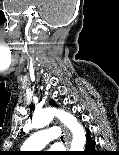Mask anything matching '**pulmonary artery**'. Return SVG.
I'll use <instances>...</instances> for the list:
<instances>
[{
  "mask_svg": "<svg viewBox=\"0 0 119 155\" xmlns=\"http://www.w3.org/2000/svg\"><path fill=\"white\" fill-rule=\"evenodd\" d=\"M60 130L57 127H51L40 130L32 134L24 143L22 148L28 151H38L44 148L49 142L58 139Z\"/></svg>",
  "mask_w": 119,
  "mask_h": 155,
  "instance_id": "1",
  "label": "pulmonary artery"
}]
</instances>
